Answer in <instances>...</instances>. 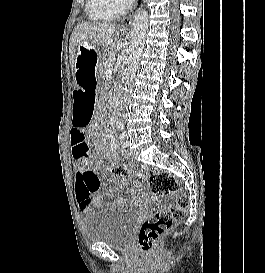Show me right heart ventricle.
<instances>
[{
	"label": "right heart ventricle",
	"instance_id": "obj_1",
	"mask_svg": "<svg viewBox=\"0 0 265 273\" xmlns=\"http://www.w3.org/2000/svg\"><path fill=\"white\" fill-rule=\"evenodd\" d=\"M88 15L94 21H107L113 19L117 13L106 3V0H89Z\"/></svg>",
	"mask_w": 265,
	"mask_h": 273
}]
</instances>
